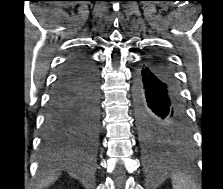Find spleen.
<instances>
[{"mask_svg": "<svg viewBox=\"0 0 223 189\" xmlns=\"http://www.w3.org/2000/svg\"><path fill=\"white\" fill-rule=\"evenodd\" d=\"M173 187L174 189H191V181L188 177H174Z\"/></svg>", "mask_w": 223, "mask_h": 189, "instance_id": "obj_1", "label": "spleen"}]
</instances>
